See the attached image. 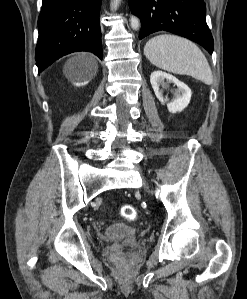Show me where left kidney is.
<instances>
[{
  "label": "left kidney",
  "instance_id": "left-kidney-1",
  "mask_svg": "<svg viewBox=\"0 0 247 299\" xmlns=\"http://www.w3.org/2000/svg\"><path fill=\"white\" fill-rule=\"evenodd\" d=\"M168 83H174L177 89L174 91V98L167 104L170 113L183 111L189 104L191 99V89L183 82L178 80L173 75L163 71H154L150 76V83L155 92V95L160 100L168 101V98L163 97V88L167 87ZM160 86L162 89H160Z\"/></svg>",
  "mask_w": 247,
  "mask_h": 299
}]
</instances>
